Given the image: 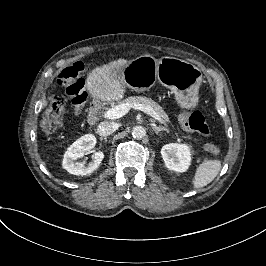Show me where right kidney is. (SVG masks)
<instances>
[{"instance_id":"right-kidney-1","label":"right kidney","mask_w":266,"mask_h":266,"mask_svg":"<svg viewBox=\"0 0 266 266\" xmlns=\"http://www.w3.org/2000/svg\"><path fill=\"white\" fill-rule=\"evenodd\" d=\"M96 145V137L93 134H86L77 139L65 152L74 162V175H88L98 168L104 158L101 151L95 152L92 161L87 165L85 163H78L76 160L84 156L87 151L93 149Z\"/></svg>"}]
</instances>
